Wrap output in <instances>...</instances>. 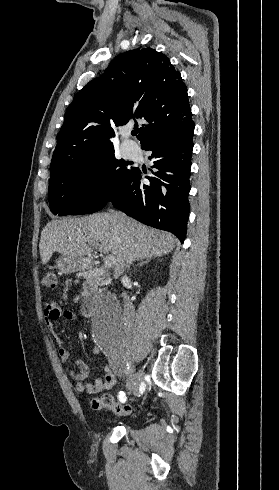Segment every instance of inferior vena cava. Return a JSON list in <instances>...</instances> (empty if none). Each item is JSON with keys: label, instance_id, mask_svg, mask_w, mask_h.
Masks as SVG:
<instances>
[{"label": "inferior vena cava", "instance_id": "602c4592", "mask_svg": "<svg viewBox=\"0 0 279 490\" xmlns=\"http://www.w3.org/2000/svg\"><path fill=\"white\" fill-rule=\"evenodd\" d=\"M114 216H119L120 226L122 228V226H124V224H125L124 214H119V212H114ZM135 258H136V254H133V252H131V254H129V258L126 262V266H125L123 272H125V270H127V268H130V264H132V262H134ZM121 282H122V284H125V282H129V278H127V276H122ZM122 298L124 300V316H125L126 324H129V326H132V324H134V322H135V308H134L129 296H127V292H122Z\"/></svg>", "mask_w": 279, "mask_h": 490}]
</instances>
